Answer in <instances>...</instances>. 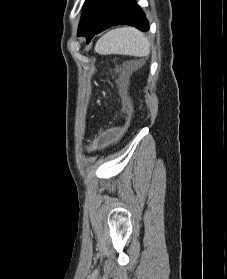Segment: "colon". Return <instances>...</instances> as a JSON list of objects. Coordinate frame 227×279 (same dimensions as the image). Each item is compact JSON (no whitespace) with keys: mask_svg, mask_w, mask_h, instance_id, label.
<instances>
[{"mask_svg":"<svg viewBox=\"0 0 227 279\" xmlns=\"http://www.w3.org/2000/svg\"><path fill=\"white\" fill-rule=\"evenodd\" d=\"M125 100H126V98H125ZM128 104V103H127ZM109 138V135H104L103 137H101L99 140H95V142H94V144H93V146L92 147H94V146H96L97 145V143H98V141H101V140H106V139H108Z\"/></svg>","mask_w":227,"mask_h":279,"instance_id":"1","label":"colon"}]
</instances>
